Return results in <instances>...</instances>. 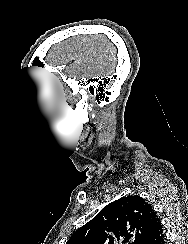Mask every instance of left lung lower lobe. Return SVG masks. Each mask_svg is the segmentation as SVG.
I'll list each match as a JSON object with an SVG mask.
<instances>
[{
  "label": "left lung lower lobe",
  "instance_id": "1",
  "mask_svg": "<svg viewBox=\"0 0 188 244\" xmlns=\"http://www.w3.org/2000/svg\"><path fill=\"white\" fill-rule=\"evenodd\" d=\"M147 244H165V237L159 218L152 227Z\"/></svg>",
  "mask_w": 188,
  "mask_h": 244
}]
</instances>
